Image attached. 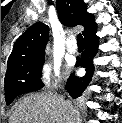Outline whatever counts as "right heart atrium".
<instances>
[{"label": "right heart atrium", "mask_w": 122, "mask_h": 123, "mask_svg": "<svg viewBox=\"0 0 122 123\" xmlns=\"http://www.w3.org/2000/svg\"><path fill=\"white\" fill-rule=\"evenodd\" d=\"M62 78L61 67L57 62L45 61L40 67V79L48 86H57Z\"/></svg>", "instance_id": "right-heart-atrium-1"}]
</instances>
